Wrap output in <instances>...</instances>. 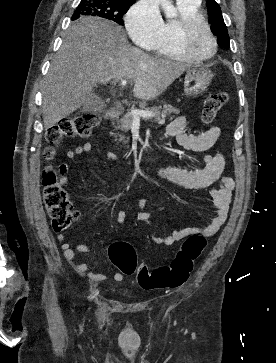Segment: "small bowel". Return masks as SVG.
Wrapping results in <instances>:
<instances>
[{"mask_svg":"<svg viewBox=\"0 0 276 363\" xmlns=\"http://www.w3.org/2000/svg\"><path fill=\"white\" fill-rule=\"evenodd\" d=\"M188 124V118L185 116H177L165 126L162 131V137H174L180 146L194 152H205L215 146L221 135V130L218 126H213L200 134H187L185 129ZM92 148L93 143L88 142L77 146L73 150L67 151L66 156L68 159H74L78 155L90 152ZM108 157L110 159H116V156L112 153H109ZM203 161L205 163L204 168L198 170H187L179 167H153V172L161 179L189 189L207 188L219 181V186L211 190L215 212L206 226L202 228H182L175 230L170 235H155L152 237L154 243L159 245H173L189 235L199 234L211 236L215 234L225 222L229 206L232 202L235 181L231 177L221 178L225 168V156L222 152L218 151L214 155H205ZM61 170L63 172L69 171L70 165L63 164ZM68 181L69 178L67 176H62L59 183L64 185ZM147 202V197H142L138 200L140 212L136 217V221L152 227V213L146 210ZM125 219L126 213L124 211H118L116 213V223H123ZM57 239L61 244L64 257L77 272L85 275L93 284L108 279L106 274L96 273L86 263L75 260L76 253H86L90 250L88 244L83 243L72 248L63 234H58ZM113 279L116 282H121L124 279V274L119 271L115 272L113 274Z\"/></svg>","mask_w":276,"mask_h":363,"instance_id":"1","label":"small bowel"}]
</instances>
